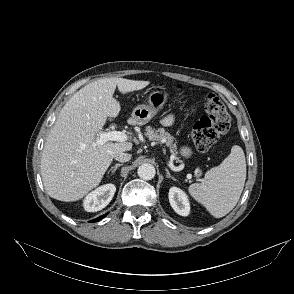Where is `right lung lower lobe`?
Masks as SVG:
<instances>
[{
	"instance_id": "1",
	"label": "right lung lower lobe",
	"mask_w": 294,
	"mask_h": 294,
	"mask_svg": "<svg viewBox=\"0 0 294 294\" xmlns=\"http://www.w3.org/2000/svg\"><path fill=\"white\" fill-rule=\"evenodd\" d=\"M106 215H107V214H105V215H103V216H100V217H98V218L92 220L91 222L99 221V220H101L102 218H104Z\"/></svg>"
}]
</instances>
